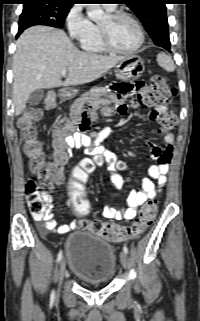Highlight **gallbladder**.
<instances>
[{
	"label": "gallbladder",
	"instance_id": "1",
	"mask_svg": "<svg viewBox=\"0 0 200 321\" xmlns=\"http://www.w3.org/2000/svg\"><path fill=\"white\" fill-rule=\"evenodd\" d=\"M43 97H44V90L43 89L35 90L30 94L29 99H28V103L31 106H36L41 102Z\"/></svg>",
	"mask_w": 200,
	"mask_h": 321
}]
</instances>
